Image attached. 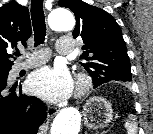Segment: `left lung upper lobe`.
I'll return each mask as SVG.
<instances>
[{
	"mask_svg": "<svg viewBox=\"0 0 153 134\" xmlns=\"http://www.w3.org/2000/svg\"><path fill=\"white\" fill-rule=\"evenodd\" d=\"M76 17L73 37H82L85 45L81 64L91 75L94 88L110 81H131L130 61L122 31L115 19L101 8L82 0H59Z\"/></svg>",
	"mask_w": 153,
	"mask_h": 134,
	"instance_id": "left-lung-upper-lobe-1",
	"label": "left lung upper lobe"
}]
</instances>
